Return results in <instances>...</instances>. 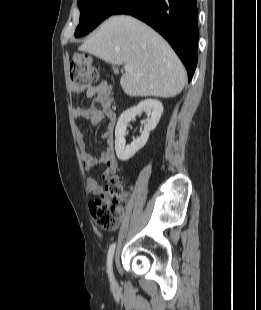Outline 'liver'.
Masks as SVG:
<instances>
[{"label": "liver", "instance_id": "liver-1", "mask_svg": "<svg viewBox=\"0 0 261 310\" xmlns=\"http://www.w3.org/2000/svg\"><path fill=\"white\" fill-rule=\"evenodd\" d=\"M105 62L130 65L120 84L131 97L171 98L186 83V71L170 45L151 27L128 15L108 18L78 48Z\"/></svg>", "mask_w": 261, "mask_h": 310}]
</instances>
